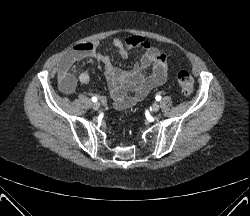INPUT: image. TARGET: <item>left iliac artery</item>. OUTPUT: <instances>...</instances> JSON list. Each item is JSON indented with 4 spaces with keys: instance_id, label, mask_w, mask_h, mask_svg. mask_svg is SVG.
Returning <instances> with one entry per match:
<instances>
[{
    "instance_id": "obj_1",
    "label": "left iliac artery",
    "mask_w": 250,
    "mask_h": 216,
    "mask_svg": "<svg viewBox=\"0 0 250 216\" xmlns=\"http://www.w3.org/2000/svg\"><path fill=\"white\" fill-rule=\"evenodd\" d=\"M155 99H156L157 101H160V100H161V96H160V95H157V96L155 97Z\"/></svg>"
}]
</instances>
